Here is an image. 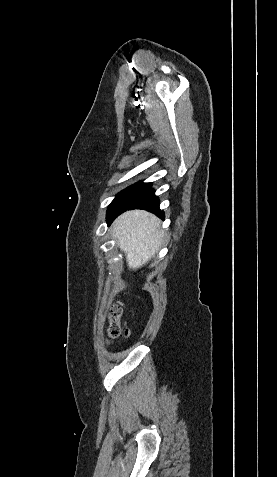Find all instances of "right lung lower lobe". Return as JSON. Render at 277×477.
Instances as JSON below:
<instances>
[{
  "label": "right lung lower lobe",
  "mask_w": 277,
  "mask_h": 477,
  "mask_svg": "<svg viewBox=\"0 0 277 477\" xmlns=\"http://www.w3.org/2000/svg\"><path fill=\"white\" fill-rule=\"evenodd\" d=\"M131 209H144L156 214L160 218H164V212L159 208V199L155 195V191L151 188V186L126 210Z\"/></svg>",
  "instance_id": "98d812e1"
}]
</instances>
